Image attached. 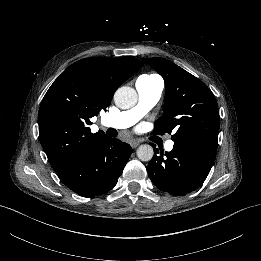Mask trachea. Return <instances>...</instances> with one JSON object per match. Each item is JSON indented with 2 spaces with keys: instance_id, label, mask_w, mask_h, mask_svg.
Here are the masks:
<instances>
[{
  "instance_id": "obj_1",
  "label": "trachea",
  "mask_w": 261,
  "mask_h": 261,
  "mask_svg": "<svg viewBox=\"0 0 261 261\" xmlns=\"http://www.w3.org/2000/svg\"><path fill=\"white\" fill-rule=\"evenodd\" d=\"M106 134L110 137H116L117 136V131L113 128H109L107 131H106Z\"/></svg>"
}]
</instances>
